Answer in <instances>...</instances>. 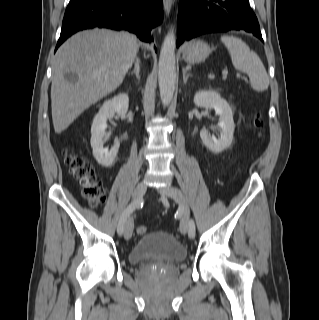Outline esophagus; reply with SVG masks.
<instances>
[{"instance_id": "esophagus-1", "label": "esophagus", "mask_w": 319, "mask_h": 320, "mask_svg": "<svg viewBox=\"0 0 319 320\" xmlns=\"http://www.w3.org/2000/svg\"><path fill=\"white\" fill-rule=\"evenodd\" d=\"M163 5L166 14L169 15L172 7V0H163Z\"/></svg>"}]
</instances>
